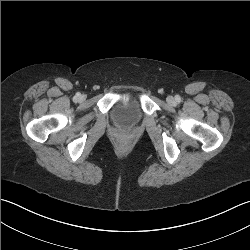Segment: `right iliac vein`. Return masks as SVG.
Instances as JSON below:
<instances>
[{"label":"right iliac vein","mask_w":250,"mask_h":250,"mask_svg":"<svg viewBox=\"0 0 250 250\" xmlns=\"http://www.w3.org/2000/svg\"><path fill=\"white\" fill-rule=\"evenodd\" d=\"M83 98H84L83 96L80 97V99H83Z\"/></svg>","instance_id":"obj_1"}]
</instances>
